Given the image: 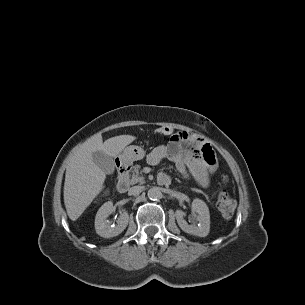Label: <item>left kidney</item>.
<instances>
[{"label":"left kidney","mask_w":305,"mask_h":305,"mask_svg":"<svg viewBox=\"0 0 305 305\" xmlns=\"http://www.w3.org/2000/svg\"><path fill=\"white\" fill-rule=\"evenodd\" d=\"M192 213L195 217L196 221H198V225L188 224L184 220L185 212L182 210H176L175 216L179 227L186 233L205 237L208 235L210 231V213L209 208L206 203L201 199H194L192 202Z\"/></svg>","instance_id":"5707ae66"}]
</instances>
